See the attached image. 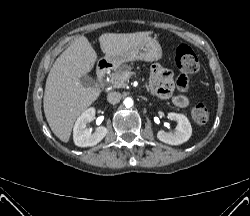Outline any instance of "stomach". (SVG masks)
Returning <instances> with one entry per match:
<instances>
[{
	"mask_svg": "<svg viewBox=\"0 0 250 216\" xmlns=\"http://www.w3.org/2000/svg\"><path fill=\"white\" fill-rule=\"evenodd\" d=\"M163 57V52L160 44L152 38H147L141 43L131 47L128 50L122 51L114 56L105 57V61L113 67H118L120 64L134 60L158 61Z\"/></svg>",
	"mask_w": 250,
	"mask_h": 216,
	"instance_id": "obj_1",
	"label": "stomach"
}]
</instances>
